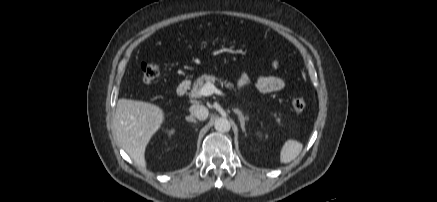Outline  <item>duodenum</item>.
<instances>
[{
    "label": "duodenum",
    "mask_w": 437,
    "mask_h": 202,
    "mask_svg": "<svg viewBox=\"0 0 437 202\" xmlns=\"http://www.w3.org/2000/svg\"><path fill=\"white\" fill-rule=\"evenodd\" d=\"M190 87V81L189 80H183L180 82L176 88V94L180 97L184 96Z\"/></svg>",
    "instance_id": "410a0bca"
}]
</instances>
